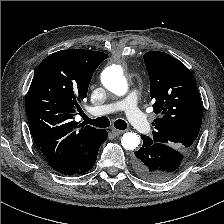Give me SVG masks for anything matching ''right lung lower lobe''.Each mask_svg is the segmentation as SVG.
Instances as JSON below:
<instances>
[{"instance_id": "right-lung-lower-lobe-1", "label": "right lung lower lobe", "mask_w": 224, "mask_h": 224, "mask_svg": "<svg viewBox=\"0 0 224 224\" xmlns=\"http://www.w3.org/2000/svg\"><path fill=\"white\" fill-rule=\"evenodd\" d=\"M108 133L106 130H102L101 136L96 144L90 149L86 156L81 161L80 165L72 168L71 170L62 173L65 175H77L89 171L95 164L98 150L100 145L107 139Z\"/></svg>"}]
</instances>
